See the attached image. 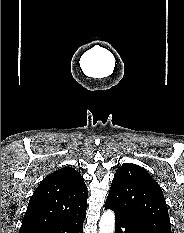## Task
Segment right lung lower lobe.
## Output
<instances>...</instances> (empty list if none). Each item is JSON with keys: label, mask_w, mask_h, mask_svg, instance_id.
Returning a JSON list of instances; mask_svg holds the SVG:
<instances>
[{"label": "right lung lower lobe", "mask_w": 184, "mask_h": 233, "mask_svg": "<svg viewBox=\"0 0 184 233\" xmlns=\"http://www.w3.org/2000/svg\"><path fill=\"white\" fill-rule=\"evenodd\" d=\"M84 220L85 216H82L65 223L49 225L31 233H83Z\"/></svg>", "instance_id": "98d812e1"}]
</instances>
